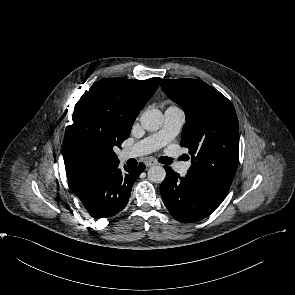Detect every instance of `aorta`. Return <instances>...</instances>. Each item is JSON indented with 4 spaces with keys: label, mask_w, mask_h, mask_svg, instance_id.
<instances>
[{
    "label": "aorta",
    "mask_w": 295,
    "mask_h": 295,
    "mask_svg": "<svg viewBox=\"0 0 295 295\" xmlns=\"http://www.w3.org/2000/svg\"><path fill=\"white\" fill-rule=\"evenodd\" d=\"M142 127L148 131H156L163 124V114L158 109H149L140 117ZM166 177L165 169L155 165L148 170V178L154 183H162Z\"/></svg>",
    "instance_id": "aorta-1"
}]
</instances>
